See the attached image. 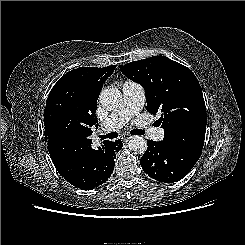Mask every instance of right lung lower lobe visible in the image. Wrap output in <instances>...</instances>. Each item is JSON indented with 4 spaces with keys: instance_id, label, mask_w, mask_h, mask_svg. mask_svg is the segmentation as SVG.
I'll return each mask as SVG.
<instances>
[{
    "instance_id": "98d812e1",
    "label": "right lung lower lobe",
    "mask_w": 245,
    "mask_h": 245,
    "mask_svg": "<svg viewBox=\"0 0 245 245\" xmlns=\"http://www.w3.org/2000/svg\"><path fill=\"white\" fill-rule=\"evenodd\" d=\"M120 140H105L98 150L91 144L79 152H70L64 140H57L49 154L58 172L73 186L91 190L105 183L114 169L116 153L122 148Z\"/></svg>"
}]
</instances>
